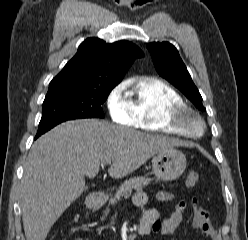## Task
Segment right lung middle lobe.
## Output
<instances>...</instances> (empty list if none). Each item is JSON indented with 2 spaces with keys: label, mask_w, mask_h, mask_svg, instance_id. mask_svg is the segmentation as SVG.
Segmentation results:
<instances>
[{
  "label": "right lung middle lobe",
  "mask_w": 248,
  "mask_h": 240,
  "mask_svg": "<svg viewBox=\"0 0 248 240\" xmlns=\"http://www.w3.org/2000/svg\"><path fill=\"white\" fill-rule=\"evenodd\" d=\"M112 88H63L48 91L40 126L81 118H104L101 105Z\"/></svg>",
  "instance_id": "obj_1"
}]
</instances>
